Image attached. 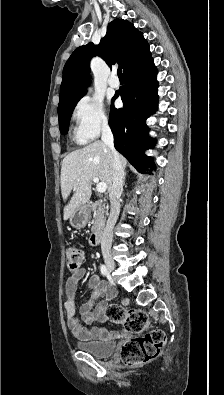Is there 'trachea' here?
I'll use <instances>...</instances> for the list:
<instances>
[{
  "mask_svg": "<svg viewBox=\"0 0 224 395\" xmlns=\"http://www.w3.org/2000/svg\"><path fill=\"white\" fill-rule=\"evenodd\" d=\"M118 77L119 78H123V73H122V68L121 67L118 68Z\"/></svg>",
  "mask_w": 224,
  "mask_h": 395,
  "instance_id": "obj_1",
  "label": "trachea"
}]
</instances>
